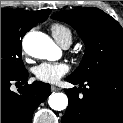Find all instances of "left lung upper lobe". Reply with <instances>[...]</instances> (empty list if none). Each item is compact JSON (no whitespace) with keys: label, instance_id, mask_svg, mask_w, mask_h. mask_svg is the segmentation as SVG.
I'll return each mask as SVG.
<instances>
[{"label":"left lung upper lobe","instance_id":"5c2ea615","mask_svg":"<svg viewBox=\"0 0 123 123\" xmlns=\"http://www.w3.org/2000/svg\"><path fill=\"white\" fill-rule=\"evenodd\" d=\"M52 18L72 26L86 45L71 77L83 80L104 72H123V28L114 18L93 7L61 11Z\"/></svg>","mask_w":123,"mask_h":123}]
</instances>
